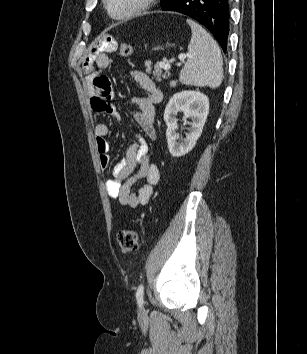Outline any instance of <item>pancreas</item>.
<instances>
[{"label":"pancreas","instance_id":"pancreas-1","mask_svg":"<svg viewBox=\"0 0 307 354\" xmlns=\"http://www.w3.org/2000/svg\"><path fill=\"white\" fill-rule=\"evenodd\" d=\"M161 63L162 62H157L154 65L153 71L149 65L146 66V72L148 74H153V78L156 79L157 81H161V77L165 79L169 75L168 71H163V67L161 66Z\"/></svg>","mask_w":307,"mask_h":354}]
</instances>
